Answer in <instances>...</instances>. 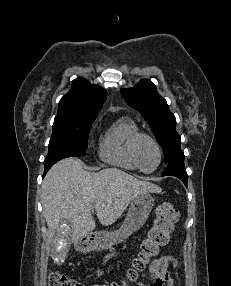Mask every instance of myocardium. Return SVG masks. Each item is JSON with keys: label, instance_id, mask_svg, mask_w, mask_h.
Masks as SVG:
<instances>
[{"label": "myocardium", "instance_id": "obj_1", "mask_svg": "<svg viewBox=\"0 0 231 286\" xmlns=\"http://www.w3.org/2000/svg\"><path fill=\"white\" fill-rule=\"evenodd\" d=\"M144 139L149 140L155 146V148L157 149V152H158V157H159L157 166L153 170H150V171L144 170L141 167L139 160H138V155H137L139 143ZM130 155H131V159H132L134 165L136 166L137 170H139L143 173H146V174L155 172L161 166L162 161H163V151H162V148H161L159 142L157 141V139L155 137H153L152 135L147 134V133H143V132H139L138 134H136L133 137L131 144H130Z\"/></svg>", "mask_w": 231, "mask_h": 286}]
</instances>
